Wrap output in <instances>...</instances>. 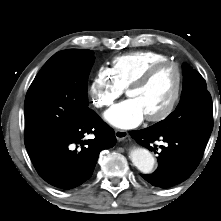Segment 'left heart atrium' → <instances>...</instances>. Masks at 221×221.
<instances>
[{
	"instance_id": "39dd6f15",
	"label": "left heart atrium",
	"mask_w": 221,
	"mask_h": 221,
	"mask_svg": "<svg viewBox=\"0 0 221 221\" xmlns=\"http://www.w3.org/2000/svg\"><path fill=\"white\" fill-rule=\"evenodd\" d=\"M145 118L144 111L136 99L129 98L113 106L105 113V119L113 126L131 129Z\"/></svg>"
}]
</instances>
